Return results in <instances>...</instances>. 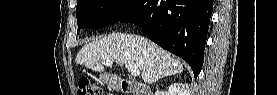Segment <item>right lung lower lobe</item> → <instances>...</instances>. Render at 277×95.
<instances>
[{"label": "right lung lower lobe", "mask_w": 277, "mask_h": 95, "mask_svg": "<svg viewBox=\"0 0 277 95\" xmlns=\"http://www.w3.org/2000/svg\"><path fill=\"white\" fill-rule=\"evenodd\" d=\"M211 13L212 0H140L120 21L140 26L153 42L183 58L196 78Z\"/></svg>", "instance_id": "right-lung-lower-lobe-1"}]
</instances>
